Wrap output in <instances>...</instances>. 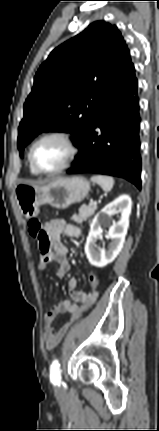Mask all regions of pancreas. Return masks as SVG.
<instances>
[{
	"mask_svg": "<svg viewBox=\"0 0 159 431\" xmlns=\"http://www.w3.org/2000/svg\"><path fill=\"white\" fill-rule=\"evenodd\" d=\"M97 207L96 206H82L79 209V214H75L72 216V220L76 223H82L86 221L89 217L93 216Z\"/></svg>",
	"mask_w": 159,
	"mask_h": 431,
	"instance_id": "pancreas-1",
	"label": "pancreas"
}]
</instances>
